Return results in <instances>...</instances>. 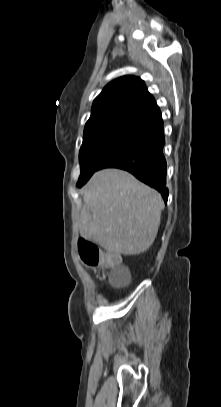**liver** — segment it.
<instances>
[{"label": "liver", "mask_w": 221, "mask_h": 407, "mask_svg": "<svg viewBox=\"0 0 221 407\" xmlns=\"http://www.w3.org/2000/svg\"><path fill=\"white\" fill-rule=\"evenodd\" d=\"M80 233L111 254L137 255L153 244L164 203L154 189L119 169L96 172L86 185Z\"/></svg>", "instance_id": "liver-1"}]
</instances>
